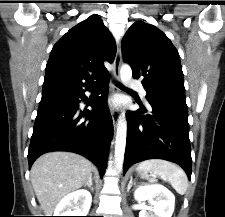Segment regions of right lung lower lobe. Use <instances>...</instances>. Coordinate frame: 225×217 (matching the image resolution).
Listing matches in <instances>:
<instances>
[{
  "label": "right lung lower lobe",
  "instance_id": "98d812e1",
  "mask_svg": "<svg viewBox=\"0 0 225 217\" xmlns=\"http://www.w3.org/2000/svg\"><path fill=\"white\" fill-rule=\"evenodd\" d=\"M107 90L98 97L92 110L80 111L85 91L67 97L42 98L28 151L29 168L43 153L71 151L96 164L105 172L113 122L105 101ZM81 99V100H80ZM86 116V120H81Z\"/></svg>",
  "mask_w": 225,
  "mask_h": 217
}]
</instances>
